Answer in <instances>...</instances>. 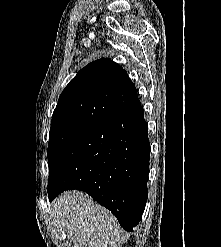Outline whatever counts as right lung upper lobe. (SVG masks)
<instances>
[{"label":"right lung upper lobe","mask_w":221,"mask_h":247,"mask_svg":"<svg viewBox=\"0 0 221 247\" xmlns=\"http://www.w3.org/2000/svg\"><path fill=\"white\" fill-rule=\"evenodd\" d=\"M141 105L127 72L109 58L96 60L70 81L59 97L51 129L93 127Z\"/></svg>","instance_id":"right-lung-upper-lobe-1"}]
</instances>
